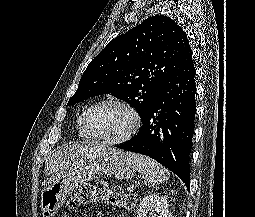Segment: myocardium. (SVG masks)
Listing matches in <instances>:
<instances>
[{
    "mask_svg": "<svg viewBox=\"0 0 255 217\" xmlns=\"http://www.w3.org/2000/svg\"><path fill=\"white\" fill-rule=\"evenodd\" d=\"M104 104H113V105L120 106V107L124 108L129 113V115L131 117L130 127L119 138H116V139L102 138V137L94 134L89 126L88 118H89L90 112L94 108H96L100 105H104ZM82 125H83L85 132L88 134V136L90 138L97 140L98 142H101L106 145H119V144H122V143L130 140L136 134V132L139 130L140 125H141V118H140V115H139L138 111L136 110V108L129 102L119 99V98H105V99H102V100H99V101L93 103L84 111L83 116H82Z\"/></svg>",
    "mask_w": 255,
    "mask_h": 217,
    "instance_id": "myocardium-1",
    "label": "myocardium"
}]
</instances>
